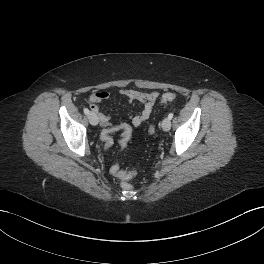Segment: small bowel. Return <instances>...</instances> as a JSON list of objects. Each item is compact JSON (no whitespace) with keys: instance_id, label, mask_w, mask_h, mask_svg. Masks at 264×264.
Returning a JSON list of instances; mask_svg holds the SVG:
<instances>
[{"instance_id":"obj_1","label":"small bowel","mask_w":264,"mask_h":264,"mask_svg":"<svg viewBox=\"0 0 264 264\" xmlns=\"http://www.w3.org/2000/svg\"><path fill=\"white\" fill-rule=\"evenodd\" d=\"M120 93L130 102L138 101L143 104L142 111L139 114L132 117V124L134 126H140L150 118L153 111V107L159 97V94L157 92H141L131 89H123L121 90ZM108 99H109V93L106 91H96L89 98V106L93 111V113L96 114L101 127H103V131L110 130L113 133L114 132L122 133L123 131H128L131 133V128L126 123H121L113 126L111 125V120L109 115L104 113L100 108V104ZM120 145L121 148H125L123 136L121 138ZM116 170H120L119 165L113 164L110 168L111 173L115 175Z\"/></svg>"}]
</instances>
